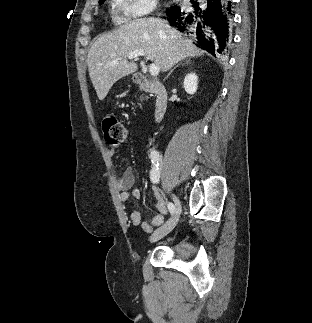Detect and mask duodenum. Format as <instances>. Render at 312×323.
Masks as SVG:
<instances>
[{"mask_svg":"<svg viewBox=\"0 0 312 323\" xmlns=\"http://www.w3.org/2000/svg\"><path fill=\"white\" fill-rule=\"evenodd\" d=\"M137 86L154 95V119L158 121L164 117L168 109V91L163 83L155 78H147L141 73L134 76Z\"/></svg>","mask_w":312,"mask_h":323,"instance_id":"duodenum-1","label":"duodenum"}]
</instances>
